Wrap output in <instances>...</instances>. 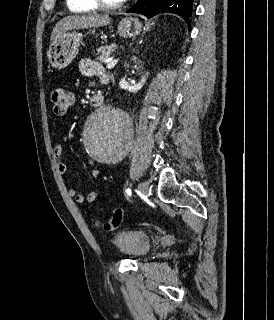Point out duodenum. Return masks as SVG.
<instances>
[{
  "label": "duodenum",
  "mask_w": 274,
  "mask_h": 320,
  "mask_svg": "<svg viewBox=\"0 0 274 320\" xmlns=\"http://www.w3.org/2000/svg\"><path fill=\"white\" fill-rule=\"evenodd\" d=\"M104 101V97L102 95H94L90 99V103L93 106H100Z\"/></svg>",
  "instance_id": "410a0bca"
}]
</instances>
